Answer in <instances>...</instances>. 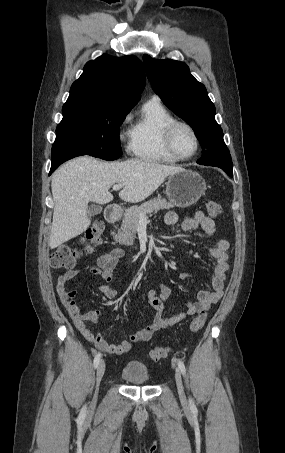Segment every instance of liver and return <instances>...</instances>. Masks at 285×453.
I'll return each instance as SVG.
<instances>
[{
	"label": "liver",
	"instance_id": "obj_1",
	"mask_svg": "<svg viewBox=\"0 0 285 453\" xmlns=\"http://www.w3.org/2000/svg\"><path fill=\"white\" fill-rule=\"evenodd\" d=\"M181 169L141 159L105 162L89 156L62 165L53 174L51 182L55 206L50 248L59 247L89 227L88 203L112 201L113 195L109 192L112 185L122 184L124 188L119 197L137 203L149 197L168 176Z\"/></svg>",
	"mask_w": 285,
	"mask_h": 453
}]
</instances>
